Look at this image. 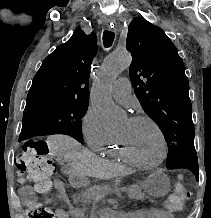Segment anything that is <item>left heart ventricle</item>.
Returning a JSON list of instances; mask_svg holds the SVG:
<instances>
[{
    "mask_svg": "<svg viewBox=\"0 0 211 218\" xmlns=\"http://www.w3.org/2000/svg\"><path fill=\"white\" fill-rule=\"evenodd\" d=\"M116 134L125 140L130 151L139 160L152 163L160 158L162 152L160 138L149 122H133L127 118Z\"/></svg>",
    "mask_w": 211,
    "mask_h": 218,
    "instance_id": "1",
    "label": "left heart ventricle"
}]
</instances>
